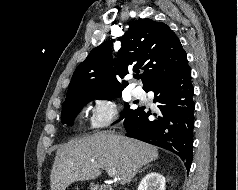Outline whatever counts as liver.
<instances>
[{
    "instance_id": "liver-1",
    "label": "liver",
    "mask_w": 238,
    "mask_h": 190,
    "mask_svg": "<svg viewBox=\"0 0 238 190\" xmlns=\"http://www.w3.org/2000/svg\"><path fill=\"white\" fill-rule=\"evenodd\" d=\"M158 158V149L142 141L99 132L61 145L52 166L51 190H65L76 181L96 179L101 169L114 170L122 185Z\"/></svg>"
}]
</instances>
